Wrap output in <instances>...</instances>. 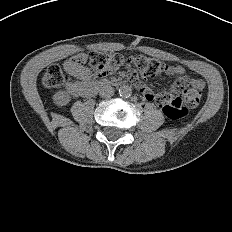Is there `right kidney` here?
<instances>
[{"instance_id": "right-kidney-1", "label": "right kidney", "mask_w": 232, "mask_h": 232, "mask_svg": "<svg viewBox=\"0 0 232 232\" xmlns=\"http://www.w3.org/2000/svg\"><path fill=\"white\" fill-rule=\"evenodd\" d=\"M71 100L70 95L66 91H58L53 95V102L57 106H65Z\"/></svg>"}]
</instances>
